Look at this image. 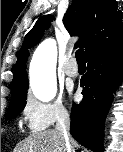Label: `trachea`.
Returning <instances> with one entry per match:
<instances>
[{
    "label": "trachea",
    "mask_w": 123,
    "mask_h": 152,
    "mask_svg": "<svg viewBox=\"0 0 123 152\" xmlns=\"http://www.w3.org/2000/svg\"><path fill=\"white\" fill-rule=\"evenodd\" d=\"M75 57L78 64H85L84 49H78L75 53Z\"/></svg>",
    "instance_id": "trachea-1"
}]
</instances>
